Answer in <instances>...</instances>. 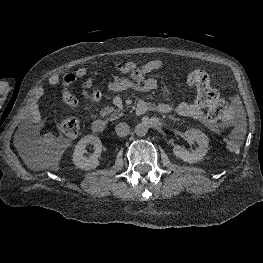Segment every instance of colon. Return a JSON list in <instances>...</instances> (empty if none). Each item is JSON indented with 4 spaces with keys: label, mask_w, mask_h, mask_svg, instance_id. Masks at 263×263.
<instances>
[{
    "label": "colon",
    "mask_w": 263,
    "mask_h": 263,
    "mask_svg": "<svg viewBox=\"0 0 263 263\" xmlns=\"http://www.w3.org/2000/svg\"><path fill=\"white\" fill-rule=\"evenodd\" d=\"M186 81L197 91L198 101L207 108L208 116L214 120L228 123L233 118L231 106L219 97L218 92L211 85L209 74L204 70H193L186 76ZM61 131L70 138H75L80 131L79 121L74 117H67L61 122ZM242 133L232 131L225 138V146L228 151L238 153L242 146Z\"/></svg>",
    "instance_id": "1"
}]
</instances>
